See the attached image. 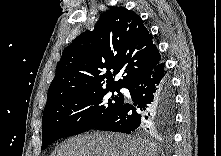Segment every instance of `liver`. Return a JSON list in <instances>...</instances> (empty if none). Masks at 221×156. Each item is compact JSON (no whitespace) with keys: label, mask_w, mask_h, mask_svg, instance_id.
I'll return each instance as SVG.
<instances>
[{"label":"liver","mask_w":221,"mask_h":156,"mask_svg":"<svg viewBox=\"0 0 221 156\" xmlns=\"http://www.w3.org/2000/svg\"><path fill=\"white\" fill-rule=\"evenodd\" d=\"M56 156H158V146L136 136L93 132L67 139Z\"/></svg>","instance_id":"6515ba94"}]
</instances>
